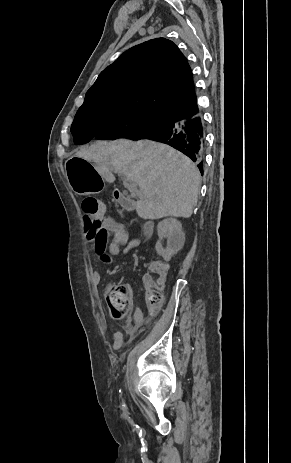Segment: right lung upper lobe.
Returning <instances> with one entry per match:
<instances>
[{
    "mask_svg": "<svg viewBox=\"0 0 291 463\" xmlns=\"http://www.w3.org/2000/svg\"><path fill=\"white\" fill-rule=\"evenodd\" d=\"M112 104L186 119L199 114L187 59L165 38L146 41L124 52L99 74L79 109Z\"/></svg>",
    "mask_w": 291,
    "mask_h": 463,
    "instance_id": "obj_1",
    "label": "right lung upper lobe"
}]
</instances>
